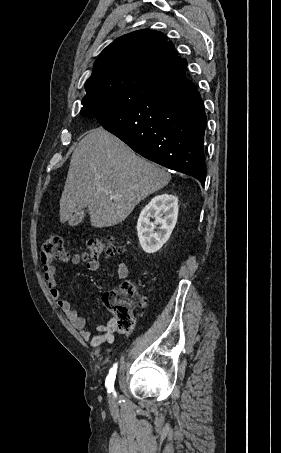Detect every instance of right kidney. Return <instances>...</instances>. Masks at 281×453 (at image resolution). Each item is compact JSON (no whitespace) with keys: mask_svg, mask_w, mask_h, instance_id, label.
Segmentation results:
<instances>
[{"mask_svg":"<svg viewBox=\"0 0 281 453\" xmlns=\"http://www.w3.org/2000/svg\"><path fill=\"white\" fill-rule=\"evenodd\" d=\"M155 218L151 222L150 218ZM178 198L174 194H157L143 210L137 222L139 243L145 253H156L167 243L177 222ZM155 224L160 227L155 233Z\"/></svg>","mask_w":281,"mask_h":453,"instance_id":"right-kidney-1","label":"right kidney"}]
</instances>
